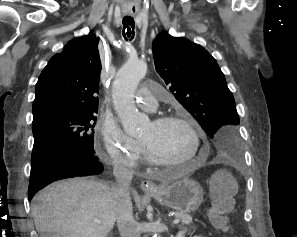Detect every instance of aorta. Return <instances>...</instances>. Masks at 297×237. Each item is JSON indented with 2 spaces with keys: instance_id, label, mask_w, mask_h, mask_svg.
I'll use <instances>...</instances> for the list:
<instances>
[{
  "instance_id": "1",
  "label": "aorta",
  "mask_w": 297,
  "mask_h": 237,
  "mask_svg": "<svg viewBox=\"0 0 297 237\" xmlns=\"http://www.w3.org/2000/svg\"><path fill=\"white\" fill-rule=\"evenodd\" d=\"M146 72L147 64L143 60H129L119 69L113 83L114 107L124 132L129 136L139 135L148 121V118L138 111L134 101L135 90ZM157 236L160 237L157 234L154 237Z\"/></svg>"
}]
</instances>
